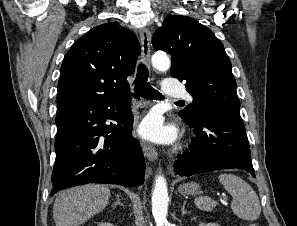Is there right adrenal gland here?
I'll use <instances>...</instances> for the list:
<instances>
[{
	"label": "right adrenal gland",
	"instance_id": "right-adrenal-gland-1",
	"mask_svg": "<svg viewBox=\"0 0 297 226\" xmlns=\"http://www.w3.org/2000/svg\"><path fill=\"white\" fill-rule=\"evenodd\" d=\"M116 200L117 201L113 204V207H116L117 205L124 207L123 203H121L120 201V196L118 194L116 195Z\"/></svg>",
	"mask_w": 297,
	"mask_h": 226
}]
</instances>
